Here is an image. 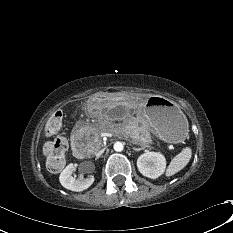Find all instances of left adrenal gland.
<instances>
[{
    "instance_id": "left-adrenal-gland-1",
    "label": "left adrenal gland",
    "mask_w": 233,
    "mask_h": 233,
    "mask_svg": "<svg viewBox=\"0 0 233 233\" xmlns=\"http://www.w3.org/2000/svg\"><path fill=\"white\" fill-rule=\"evenodd\" d=\"M144 148L142 147V148H136V147H133V150L134 151H140V150H143Z\"/></svg>"
}]
</instances>
